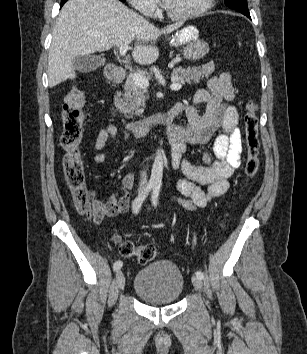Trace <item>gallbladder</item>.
Masks as SVG:
<instances>
[{
  "instance_id": "gallbladder-1",
  "label": "gallbladder",
  "mask_w": 307,
  "mask_h": 354,
  "mask_svg": "<svg viewBox=\"0 0 307 354\" xmlns=\"http://www.w3.org/2000/svg\"><path fill=\"white\" fill-rule=\"evenodd\" d=\"M105 58L96 55L78 56L73 61V67L76 71L86 73L96 70L103 66Z\"/></svg>"
}]
</instances>
